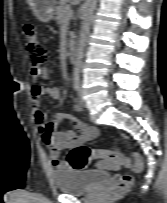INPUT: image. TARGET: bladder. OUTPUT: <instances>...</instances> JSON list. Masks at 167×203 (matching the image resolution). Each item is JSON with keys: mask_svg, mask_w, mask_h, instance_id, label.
<instances>
[{"mask_svg": "<svg viewBox=\"0 0 167 203\" xmlns=\"http://www.w3.org/2000/svg\"><path fill=\"white\" fill-rule=\"evenodd\" d=\"M110 178L111 176L108 172L99 170L59 168L52 173V179L56 188L71 195L85 194L99 184L109 181Z\"/></svg>", "mask_w": 167, "mask_h": 203, "instance_id": "31cf9c89", "label": "bladder"}]
</instances>
